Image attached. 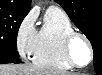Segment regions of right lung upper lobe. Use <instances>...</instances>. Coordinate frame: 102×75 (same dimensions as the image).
Instances as JSON below:
<instances>
[{
  "mask_svg": "<svg viewBox=\"0 0 102 75\" xmlns=\"http://www.w3.org/2000/svg\"><path fill=\"white\" fill-rule=\"evenodd\" d=\"M31 0H0L1 9L29 12Z\"/></svg>",
  "mask_w": 102,
  "mask_h": 75,
  "instance_id": "1",
  "label": "right lung upper lobe"
}]
</instances>
